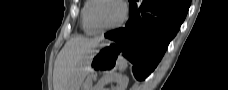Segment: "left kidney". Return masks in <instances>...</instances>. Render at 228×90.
<instances>
[{
	"label": "left kidney",
	"mask_w": 228,
	"mask_h": 90,
	"mask_svg": "<svg viewBox=\"0 0 228 90\" xmlns=\"http://www.w3.org/2000/svg\"><path fill=\"white\" fill-rule=\"evenodd\" d=\"M115 82L117 83L116 90H126L129 79L127 76H123L117 73H109L104 75L97 85L95 86L94 90H104V87L108 83Z\"/></svg>",
	"instance_id": "obj_1"
}]
</instances>
